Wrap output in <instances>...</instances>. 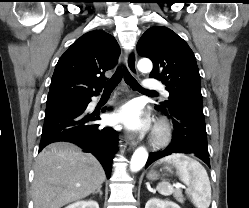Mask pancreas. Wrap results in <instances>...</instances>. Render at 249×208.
<instances>
[{"mask_svg": "<svg viewBox=\"0 0 249 208\" xmlns=\"http://www.w3.org/2000/svg\"><path fill=\"white\" fill-rule=\"evenodd\" d=\"M174 197L176 198V200L180 203H184V198H183V195H182V191L180 189H176L174 191Z\"/></svg>", "mask_w": 249, "mask_h": 208, "instance_id": "obj_1", "label": "pancreas"}]
</instances>
